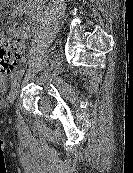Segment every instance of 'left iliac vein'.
Instances as JSON below:
<instances>
[{
  "mask_svg": "<svg viewBox=\"0 0 133 173\" xmlns=\"http://www.w3.org/2000/svg\"><path fill=\"white\" fill-rule=\"evenodd\" d=\"M20 90V80H17L15 84L13 85L10 94H9V101L10 103H13L17 94L19 93Z\"/></svg>",
  "mask_w": 133,
  "mask_h": 173,
  "instance_id": "left-iliac-vein-1",
  "label": "left iliac vein"
}]
</instances>
